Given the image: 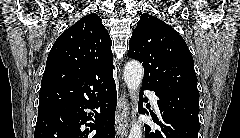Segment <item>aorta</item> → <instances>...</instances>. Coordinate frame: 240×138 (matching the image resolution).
Returning a JSON list of instances; mask_svg holds the SVG:
<instances>
[{
    "instance_id": "aorta-1",
    "label": "aorta",
    "mask_w": 240,
    "mask_h": 138,
    "mask_svg": "<svg viewBox=\"0 0 240 138\" xmlns=\"http://www.w3.org/2000/svg\"><path fill=\"white\" fill-rule=\"evenodd\" d=\"M144 71L141 63L135 60L129 61L125 67H124V80L127 84V87L131 94V99L134 101V104L136 103V96L138 89L142 83ZM137 107L133 109V114H136ZM142 137V131L141 126L137 123H133L129 138H141Z\"/></svg>"
}]
</instances>
